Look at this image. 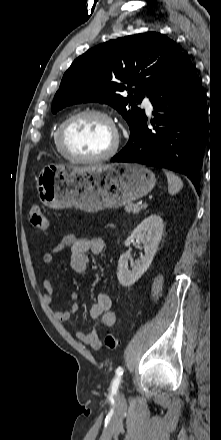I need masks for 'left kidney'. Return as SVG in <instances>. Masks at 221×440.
I'll list each match as a JSON object with an SVG mask.
<instances>
[{
  "mask_svg": "<svg viewBox=\"0 0 221 440\" xmlns=\"http://www.w3.org/2000/svg\"><path fill=\"white\" fill-rule=\"evenodd\" d=\"M163 235V220L159 215L152 214L145 218L133 230L126 239L125 246L129 247L131 242L141 241L144 246L145 255L140 260L131 262V269L128 267L130 256L123 253L118 261V281L122 286L133 285L149 268L158 250Z\"/></svg>",
  "mask_w": 221,
  "mask_h": 440,
  "instance_id": "1",
  "label": "left kidney"
}]
</instances>
